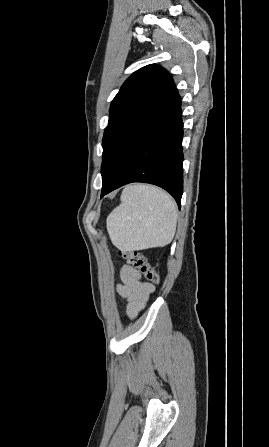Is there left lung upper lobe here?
Masks as SVG:
<instances>
[{"label": "left lung upper lobe", "mask_w": 269, "mask_h": 447, "mask_svg": "<svg viewBox=\"0 0 269 447\" xmlns=\"http://www.w3.org/2000/svg\"><path fill=\"white\" fill-rule=\"evenodd\" d=\"M175 91L169 73L156 64L125 81L111 103L103 136L102 186L114 180L144 135L165 115Z\"/></svg>", "instance_id": "5c2ea615"}]
</instances>
